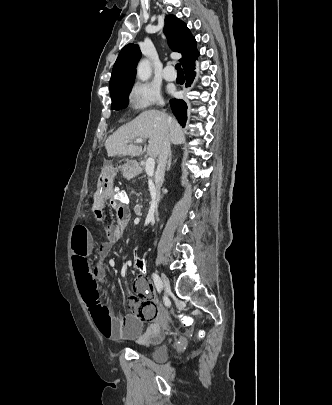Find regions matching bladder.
Masks as SVG:
<instances>
[{"instance_id":"31cf9c89","label":"bladder","mask_w":332,"mask_h":405,"mask_svg":"<svg viewBox=\"0 0 332 405\" xmlns=\"http://www.w3.org/2000/svg\"><path fill=\"white\" fill-rule=\"evenodd\" d=\"M164 335L160 334L158 340L148 344L149 346H155L152 352V359L156 362H165L168 358V349L165 345H162Z\"/></svg>"}]
</instances>
